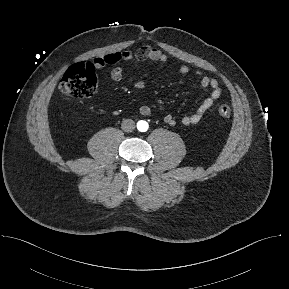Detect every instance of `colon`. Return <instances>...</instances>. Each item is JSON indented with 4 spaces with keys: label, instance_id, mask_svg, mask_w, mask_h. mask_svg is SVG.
Here are the masks:
<instances>
[{
    "label": "colon",
    "instance_id": "1",
    "mask_svg": "<svg viewBox=\"0 0 289 289\" xmlns=\"http://www.w3.org/2000/svg\"><path fill=\"white\" fill-rule=\"evenodd\" d=\"M98 88L95 66L91 62L75 64L64 74L59 83L60 91L72 98H87L92 96ZM218 113L224 118L232 114L228 105H220Z\"/></svg>",
    "mask_w": 289,
    "mask_h": 289
}]
</instances>
